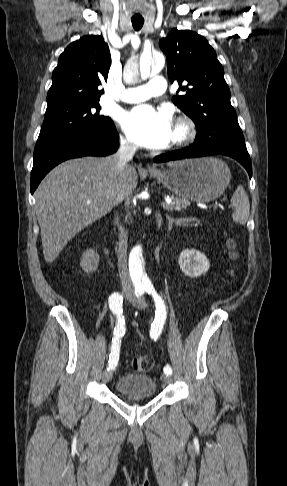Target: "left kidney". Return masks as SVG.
I'll return each mask as SVG.
<instances>
[{
	"instance_id": "obj_1",
	"label": "left kidney",
	"mask_w": 287,
	"mask_h": 486,
	"mask_svg": "<svg viewBox=\"0 0 287 486\" xmlns=\"http://www.w3.org/2000/svg\"><path fill=\"white\" fill-rule=\"evenodd\" d=\"M182 272L191 278L200 277L210 268V263L205 254L195 249H185L178 260Z\"/></svg>"
}]
</instances>
